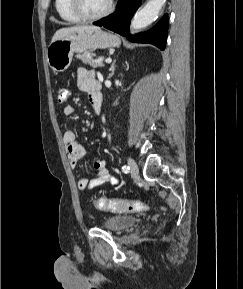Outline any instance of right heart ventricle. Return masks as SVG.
Returning a JSON list of instances; mask_svg holds the SVG:
<instances>
[{"label": "right heart ventricle", "mask_w": 243, "mask_h": 289, "mask_svg": "<svg viewBox=\"0 0 243 289\" xmlns=\"http://www.w3.org/2000/svg\"><path fill=\"white\" fill-rule=\"evenodd\" d=\"M55 8L62 20L70 23L80 22L81 19L71 9L70 0H55Z\"/></svg>", "instance_id": "1"}]
</instances>
